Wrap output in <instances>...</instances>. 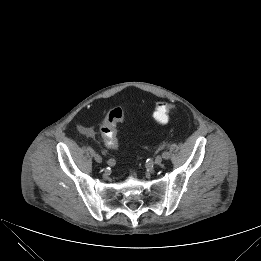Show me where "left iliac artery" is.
Masks as SVG:
<instances>
[{"label": "left iliac artery", "instance_id": "obj_1", "mask_svg": "<svg viewBox=\"0 0 261 261\" xmlns=\"http://www.w3.org/2000/svg\"><path fill=\"white\" fill-rule=\"evenodd\" d=\"M162 157H163L165 160H167V159L170 158V153H169L167 150H164V151L162 152Z\"/></svg>", "mask_w": 261, "mask_h": 261}]
</instances>
